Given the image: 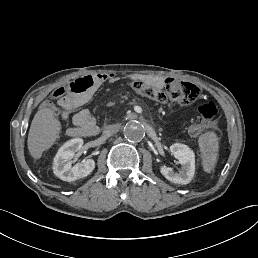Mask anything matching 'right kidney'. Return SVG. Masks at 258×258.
<instances>
[{
    "label": "right kidney",
    "instance_id": "ca27d5eb",
    "mask_svg": "<svg viewBox=\"0 0 258 258\" xmlns=\"http://www.w3.org/2000/svg\"><path fill=\"white\" fill-rule=\"evenodd\" d=\"M83 145V139L74 138L64 143L53 160V172L63 181H75L88 176L95 168V162L87 159L83 163L72 166L71 159Z\"/></svg>",
    "mask_w": 258,
    "mask_h": 258
}]
</instances>
